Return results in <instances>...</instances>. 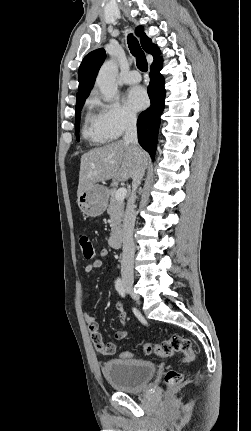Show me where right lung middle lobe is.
<instances>
[{
    "label": "right lung middle lobe",
    "instance_id": "1",
    "mask_svg": "<svg viewBox=\"0 0 251 431\" xmlns=\"http://www.w3.org/2000/svg\"><path fill=\"white\" fill-rule=\"evenodd\" d=\"M85 98L79 99L76 101V110H75V131H76V138L77 141H79V126H80V115H81V110L82 107L85 103Z\"/></svg>",
    "mask_w": 251,
    "mask_h": 431
}]
</instances>
